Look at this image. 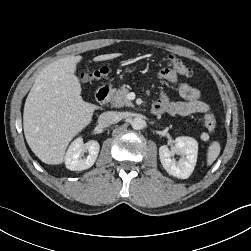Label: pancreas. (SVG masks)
I'll list each match as a JSON object with an SVG mask.
<instances>
[{"instance_id": "cf45deb5", "label": "pancreas", "mask_w": 251, "mask_h": 251, "mask_svg": "<svg viewBox=\"0 0 251 251\" xmlns=\"http://www.w3.org/2000/svg\"><path fill=\"white\" fill-rule=\"evenodd\" d=\"M129 89L126 86H123L121 89L112 91L111 103L114 107L129 106L132 107L133 104L130 100L127 99V94Z\"/></svg>"}]
</instances>
